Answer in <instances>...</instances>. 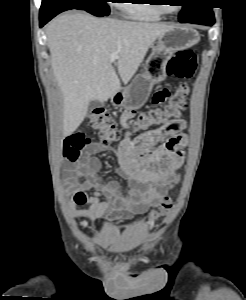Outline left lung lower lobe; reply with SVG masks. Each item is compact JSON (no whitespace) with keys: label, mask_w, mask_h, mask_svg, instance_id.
I'll list each match as a JSON object with an SVG mask.
<instances>
[{"label":"left lung lower lobe","mask_w":246,"mask_h":300,"mask_svg":"<svg viewBox=\"0 0 246 300\" xmlns=\"http://www.w3.org/2000/svg\"><path fill=\"white\" fill-rule=\"evenodd\" d=\"M181 23H193V24L211 26L215 23V18H214L213 11H211L206 14L200 15L196 18L188 19L185 22H181Z\"/></svg>","instance_id":"obj_1"}]
</instances>
